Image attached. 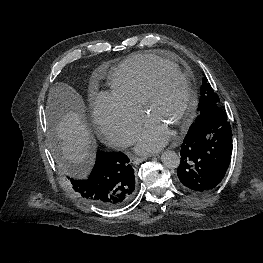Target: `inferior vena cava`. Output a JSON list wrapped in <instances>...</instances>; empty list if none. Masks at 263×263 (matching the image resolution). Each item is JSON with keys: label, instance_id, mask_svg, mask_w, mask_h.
Here are the masks:
<instances>
[{"label": "inferior vena cava", "instance_id": "obj_1", "mask_svg": "<svg viewBox=\"0 0 263 263\" xmlns=\"http://www.w3.org/2000/svg\"><path fill=\"white\" fill-rule=\"evenodd\" d=\"M135 142L134 138L128 134H119L115 141V146L121 147V148H127L131 145H133Z\"/></svg>", "mask_w": 263, "mask_h": 263}]
</instances>
